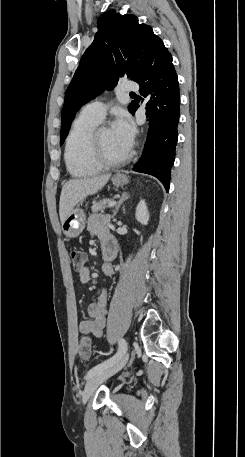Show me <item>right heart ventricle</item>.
I'll list each match as a JSON object with an SVG mask.
<instances>
[{
    "label": "right heart ventricle",
    "mask_w": 245,
    "mask_h": 457,
    "mask_svg": "<svg viewBox=\"0 0 245 457\" xmlns=\"http://www.w3.org/2000/svg\"><path fill=\"white\" fill-rule=\"evenodd\" d=\"M99 121L93 117L79 115L70 128L66 138L65 160L67 168L73 176H86L96 171L83 161L82 152L87 133L98 125Z\"/></svg>",
    "instance_id": "e07e8e85"
}]
</instances>
